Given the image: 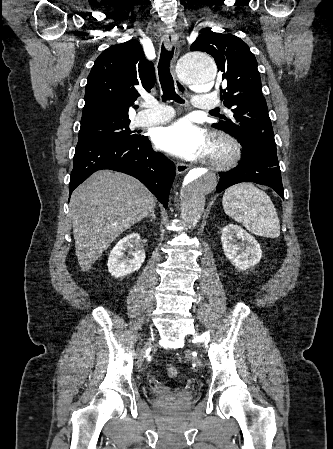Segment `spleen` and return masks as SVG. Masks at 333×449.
I'll return each mask as SVG.
<instances>
[{"label": "spleen", "mask_w": 333, "mask_h": 449, "mask_svg": "<svg viewBox=\"0 0 333 449\" xmlns=\"http://www.w3.org/2000/svg\"><path fill=\"white\" fill-rule=\"evenodd\" d=\"M225 213L253 234L276 238L280 223L270 197L251 183L229 187L222 199Z\"/></svg>", "instance_id": "obj_1"}]
</instances>
